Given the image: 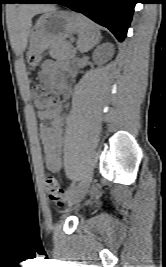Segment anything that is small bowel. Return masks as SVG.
<instances>
[{
	"label": "small bowel",
	"instance_id": "small-bowel-1",
	"mask_svg": "<svg viewBox=\"0 0 166 267\" xmlns=\"http://www.w3.org/2000/svg\"><path fill=\"white\" fill-rule=\"evenodd\" d=\"M62 68L69 74H74L72 68L62 67L53 60H46L39 72V79L45 85L62 90L67 94ZM37 117L40 121L39 133L45 165L50 171L58 172L61 169L60 150L64 125L61 106L53 105L46 110L38 111Z\"/></svg>",
	"mask_w": 166,
	"mask_h": 267
}]
</instances>
